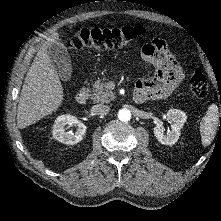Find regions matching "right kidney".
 Wrapping results in <instances>:
<instances>
[{"instance_id": "ca27d5eb", "label": "right kidney", "mask_w": 221, "mask_h": 221, "mask_svg": "<svg viewBox=\"0 0 221 221\" xmlns=\"http://www.w3.org/2000/svg\"><path fill=\"white\" fill-rule=\"evenodd\" d=\"M66 125H76L78 128L76 132H65ZM87 127L80 122L75 116L72 115H62L56 118L53 125V138L57 139L59 142L74 145L80 142L86 132Z\"/></svg>"}]
</instances>
